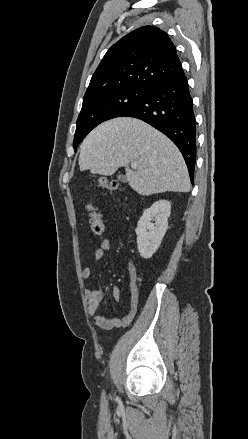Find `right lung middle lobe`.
Segmentation results:
<instances>
[{
    "mask_svg": "<svg viewBox=\"0 0 248 439\" xmlns=\"http://www.w3.org/2000/svg\"><path fill=\"white\" fill-rule=\"evenodd\" d=\"M146 93L145 90L126 88L84 102L77 119L74 150L97 125L106 120L119 117L141 100Z\"/></svg>",
    "mask_w": 248,
    "mask_h": 439,
    "instance_id": "obj_1",
    "label": "right lung middle lobe"
}]
</instances>
